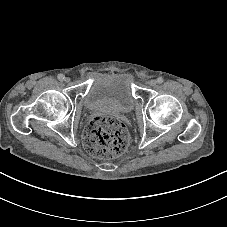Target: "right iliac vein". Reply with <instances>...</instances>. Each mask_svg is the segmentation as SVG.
I'll return each mask as SVG.
<instances>
[{"mask_svg":"<svg viewBox=\"0 0 227 227\" xmlns=\"http://www.w3.org/2000/svg\"><path fill=\"white\" fill-rule=\"evenodd\" d=\"M64 81H65V82H69V81H70V78L65 77V78H64Z\"/></svg>","mask_w":227,"mask_h":227,"instance_id":"right-iliac-vein-1","label":"right iliac vein"}]
</instances>
